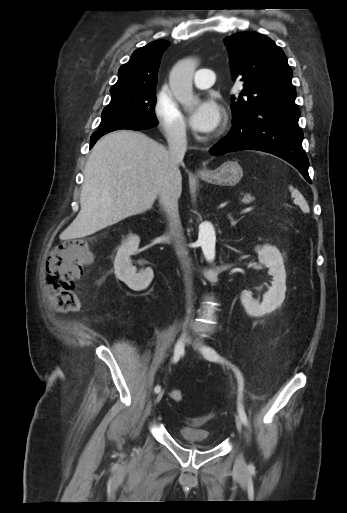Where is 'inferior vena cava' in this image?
<instances>
[{
	"instance_id": "obj_1",
	"label": "inferior vena cava",
	"mask_w": 347,
	"mask_h": 513,
	"mask_svg": "<svg viewBox=\"0 0 347 513\" xmlns=\"http://www.w3.org/2000/svg\"><path fill=\"white\" fill-rule=\"evenodd\" d=\"M168 152L170 156V166L173 171H178L179 164L183 161L185 152L187 150V138L185 129H176L171 131L167 136ZM178 194L176 188L172 183H166L159 193V203L169 216L172 224L179 226V211H178ZM176 252L181 258L182 262L189 267L187 260L188 251L182 244L179 233L174 232ZM188 285V282H187ZM189 287V285H188ZM190 301V295L188 294Z\"/></svg>"
}]
</instances>
